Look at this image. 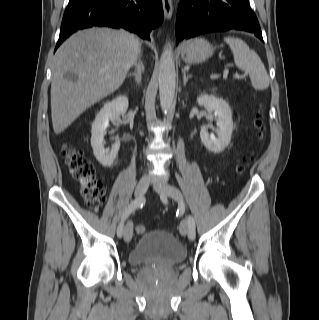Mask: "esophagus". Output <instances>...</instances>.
<instances>
[{"label":"esophagus","mask_w":319,"mask_h":320,"mask_svg":"<svg viewBox=\"0 0 319 320\" xmlns=\"http://www.w3.org/2000/svg\"><path fill=\"white\" fill-rule=\"evenodd\" d=\"M164 14L167 19H171L173 14V3L172 0H162Z\"/></svg>","instance_id":"esophagus-1"}]
</instances>
